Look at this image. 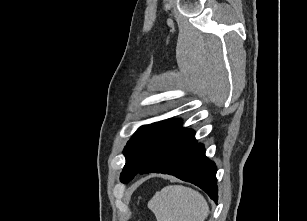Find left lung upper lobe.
Returning a JSON list of instances; mask_svg holds the SVG:
<instances>
[{
	"label": "left lung upper lobe",
	"instance_id": "1",
	"mask_svg": "<svg viewBox=\"0 0 307 221\" xmlns=\"http://www.w3.org/2000/svg\"><path fill=\"white\" fill-rule=\"evenodd\" d=\"M189 130L175 119L140 127L123 150L126 164L121 173V182H129L144 166Z\"/></svg>",
	"mask_w": 307,
	"mask_h": 221
}]
</instances>
